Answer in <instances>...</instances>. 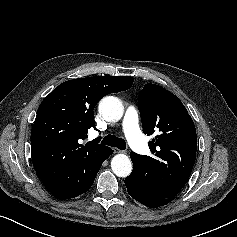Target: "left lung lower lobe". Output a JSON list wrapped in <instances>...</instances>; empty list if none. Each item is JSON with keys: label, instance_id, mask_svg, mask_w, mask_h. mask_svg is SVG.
Masks as SVG:
<instances>
[{"label": "left lung lower lobe", "instance_id": "obj_1", "mask_svg": "<svg viewBox=\"0 0 237 237\" xmlns=\"http://www.w3.org/2000/svg\"><path fill=\"white\" fill-rule=\"evenodd\" d=\"M125 185L131 197H133L136 201L140 202L141 204L149 208H157L163 206L172 201V199L175 197L173 196L168 198H161V197L150 198L148 195L149 187L138 182L136 171L134 170V168L132 173L125 178Z\"/></svg>", "mask_w": 237, "mask_h": 237}]
</instances>
